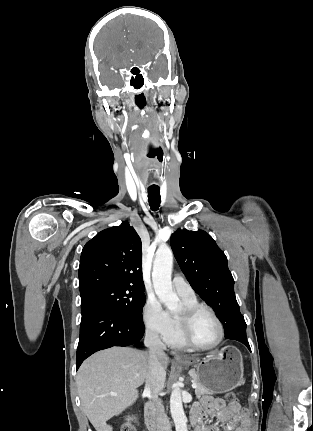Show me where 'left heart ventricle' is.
Wrapping results in <instances>:
<instances>
[{
    "label": "left heart ventricle",
    "instance_id": "left-heart-ventricle-1",
    "mask_svg": "<svg viewBox=\"0 0 313 431\" xmlns=\"http://www.w3.org/2000/svg\"><path fill=\"white\" fill-rule=\"evenodd\" d=\"M190 334L195 343L207 346L217 341L219 328L209 313L201 312L195 317Z\"/></svg>",
    "mask_w": 313,
    "mask_h": 431
}]
</instances>
